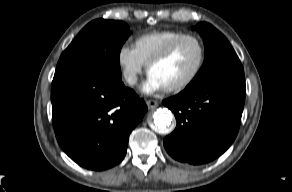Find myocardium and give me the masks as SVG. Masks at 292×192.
Wrapping results in <instances>:
<instances>
[{"label":"myocardium","instance_id":"f54148a6","mask_svg":"<svg viewBox=\"0 0 292 192\" xmlns=\"http://www.w3.org/2000/svg\"><path fill=\"white\" fill-rule=\"evenodd\" d=\"M186 40H192L197 44L200 53L198 64L195 67L194 71L186 79L175 85L165 87L164 89L167 92H180L189 87L198 78L206 62V48L203 40L199 36L194 34H183L178 38L174 39L164 50H162L160 53L151 58L149 62L146 64V69L147 72L149 73L154 65L168 59L178 48V46Z\"/></svg>","mask_w":292,"mask_h":192}]
</instances>
